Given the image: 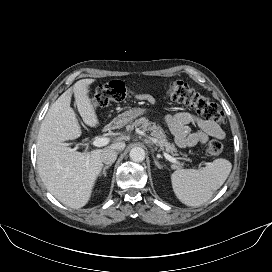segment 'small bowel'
I'll list each match as a JSON object with an SVG mask.
<instances>
[{"instance_id": "c3829d8e", "label": "small bowel", "mask_w": 272, "mask_h": 272, "mask_svg": "<svg viewBox=\"0 0 272 272\" xmlns=\"http://www.w3.org/2000/svg\"><path fill=\"white\" fill-rule=\"evenodd\" d=\"M134 97L150 105L157 104V100L150 94H135ZM165 121L175 143L181 148L205 144L209 137L217 139L225 137L224 131L216 122L200 119L187 112L168 114ZM191 124L197 125L199 130L190 132Z\"/></svg>"}]
</instances>
